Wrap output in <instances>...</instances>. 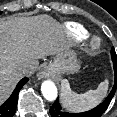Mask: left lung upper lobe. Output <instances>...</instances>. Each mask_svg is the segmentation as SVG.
<instances>
[{
	"label": "left lung upper lobe",
	"instance_id": "5c2ea615",
	"mask_svg": "<svg viewBox=\"0 0 117 117\" xmlns=\"http://www.w3.org/2000/svg\"><path fill=\"white\" fill-rule=\"evenodd\" d=\"M111 54H112V61H113V62H114V61H117V55H116V52H115L114 48H112Z\"/></svg>",
	"mask_w": 117,
	"mask_h": 117
}]
</instances>
